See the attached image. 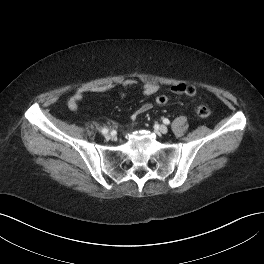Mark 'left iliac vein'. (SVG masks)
I'll list each match as a JSON object with an SVG mask.
<instances>
[{
    "label": "left iliac vein",
    "mask_w": 264,
    "mask_h": 264,
    "mask_svg": "<svg viewBox=\"0 0 264 264\" xmlns=\"http://www.w3.org/2000/svg\"><path fill=\"white\" fill-rule=\"evenodd\" d=\"M158 131L162 134H166L168 132V128L165 125H160Z\"/></svg>",
    "instance_id": "obj_1"
}]
</instances>
